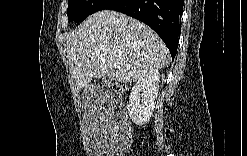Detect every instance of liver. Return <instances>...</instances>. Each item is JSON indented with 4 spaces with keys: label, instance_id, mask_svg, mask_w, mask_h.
Segmentation results:
<instances>
[{
    "label": "liver",
    "instance_id": "liver-1",
    "mask_svg": "<svg viewBox=\"0 0 247 156\" xmlns=\"http://www.w3.org/2000/svg\"><path fill=\"white\" fill-rule=\"evenodd\" d=\"M66 47L78 89L106 75L121 83L134 82L170 62L166 45L151 28L111 10L94 13L68 33Z\"/></svg>",
    "mask_w": 247,
    "mask_h": 156
}]
</instances>
